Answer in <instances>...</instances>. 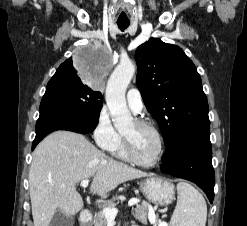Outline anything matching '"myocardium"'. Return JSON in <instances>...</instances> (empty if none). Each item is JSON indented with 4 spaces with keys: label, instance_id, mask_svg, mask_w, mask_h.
<instances>
[{
    "label": "myocardium",
    "instance_id": "myocardium-1",
    "mask_svg": "<svg viewBox=\"0 0 247 226\" xmlns=\"http://www.w3.org/2000/svg\"><path fill=\"white\" fill-rule=\"evenodd\" d=\"M134 124L137 127L149 128L150 130H152L155 133V135L157 136L158 141H159V151H158L157 157L154 160H152L150 162L142 161V160L138 159L135 156V154L133 153L129 138L125 134L122 133L123 149H124V152H125L127 159L129 161L135 163L136 165L146 167V168L154 167V166L158 165L161 162V160L164 156V153H165V140H164V137H163L160 129L153 122L148 121V120H143V119L135 120Z\"/></svg>",
    "mask_w": 247,
    "mask_h": 226
}]
</instances>
